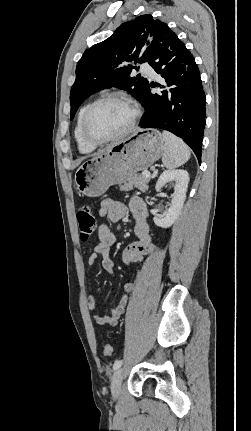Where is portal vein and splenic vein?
<instances>
[{"mask_svg":"<svg viewBox=\"0 0 251 431\" xmlns=\"http://www.w3.org/2000/svg\"><path fill=\"white\" fill-rule=\"evenodd\" d=\"M142 175L145 176V177H147V178H149L150 177V172H147V171L143 172Z\"/></svg>","mask_w":251,"mask_h":431,"instance_id":"18ae733b","label":"portal vein and splenic vein"}]
</instances>
